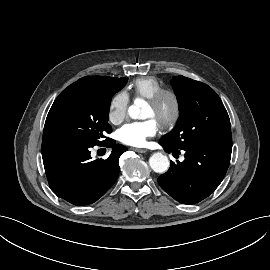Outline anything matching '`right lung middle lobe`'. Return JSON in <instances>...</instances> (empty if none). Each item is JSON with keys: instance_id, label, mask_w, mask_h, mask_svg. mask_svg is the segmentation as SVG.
I'll return each instance as SVG.
<instances>
[{"instance_id": "dd1d6c3e", "label": "right lung middle lobe", "mask_w": 270, "mask_h": 270, "mask_svg": "<svg viewBox=\"0 0 270 270\" xmlns=\"http://www.w3.org/2000/svg\"><path fill=\"white\" fill-rule=\"evenodd\" d=\"M128 78L68 86L54 101L46 118L42 144L71 143L93 147L111 133L109 106Z\"/></svg>"}]
</instances>
